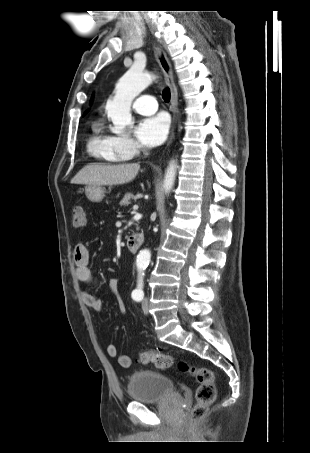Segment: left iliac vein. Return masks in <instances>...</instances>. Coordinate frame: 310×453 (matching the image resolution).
Listing matches in <instances>:
<instances>
[{
	"label": "left iliac vein",
	"mask_w": 310,
	"mask_h": 453,
	"mask_svg": "<svg viewBox=\"0 0 310 453\" xmlns=\"http://www.w3.org/2000/svg\"><path fill=\"white\" fill-rule=\"evenodd\" d=\"M142 311L144 314H148L149 312V301L147 297L142 300Z\"/></svg>",
	"instance_id": "left-iliac-vein-1"
}]
</instances>
